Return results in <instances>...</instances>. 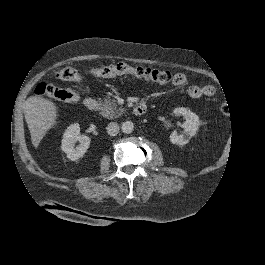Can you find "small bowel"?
<instances>
[{"label":"small bowel","mask_w":265,"mask_h":265,"mask_svg":"<svg viewBox=\"0 0 265 265\" xmlns=\"http://www.w3.org/2000/svg\"><path fill=\"white\" fill-rule=\"evenodd\" d=\"M186 83H187V77L185 74L176 73L173 76V84L175 86H183ZM214 93H215V87L211 84H206L203 86L192 85L188 88V95L191 98H200L202 96H212Z\"/></svg>","instance_id":"c3829d8e"}]
</instances>
